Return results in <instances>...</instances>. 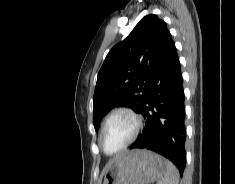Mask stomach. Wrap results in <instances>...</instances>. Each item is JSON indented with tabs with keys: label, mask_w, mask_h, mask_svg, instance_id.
Segmentation results:
<instances>
[{
	"label": "stomach",
	"mask_w": 235,
	"mask_h": 184,
	"mask_svg": "<svg viewBox=\"0 0 235 184\" xmlns=\"http://www.w3.org/2000/svg\"><path fill=\"white\" fill-rule=\"evenodd\" d=\"M164 158L149 150H131L112 160L103 184H153L163 176Z\"/></svg>",
	"instance_id": "1"
}]
</instances>
